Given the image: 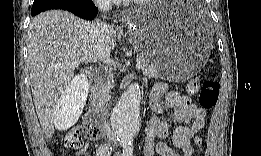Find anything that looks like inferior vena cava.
Masks as SVG:
<instances>
[{"label":"inferior vena cava","mask_w":261,"mask_h":156,"mask_svg":"<svg viewBox=\"0 0 261 156\" xmlns=\"http://www.w3.org/2000/svg\"><path fill=\"white\" fill-rule=\"evenodd\" d=\"M96 4L99 10L103 12H106L111 8V2L108 0L97 1ZM108 29L109 25L104 22V19H98L95 23L92 24L91 27V34L95 40L99 52V59L104 62H109L110 60V51L106 45ZM106 134L109 141L115 140V136L108 123L106 125Z\"/></svg>","instance_id":"inferior-vena-cava-1"}]
</instances>
